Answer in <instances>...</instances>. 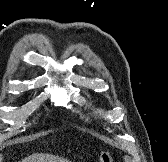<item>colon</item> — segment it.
Wrapping results in <instances>:
<instances>
[{
    "label": "colon",
    "mask_w": 168,
    "mask_h": 162,
    "mask_svg": "<svg viewBox=\"0 0 168 162\" xmlns=\"http://www.w3.org/2000/svg\"><path fill=\"white\" fill-rule=\"evenodd\" d=\"M99 162H113V156L110 152H103L100 155Z\"/></svg>",
    "instance_id": "5ec220e1"
}]
</instances>
